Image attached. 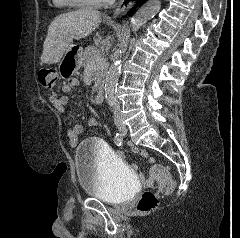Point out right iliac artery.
<instances>
[{
  "mask_svg": "<svg viewBox=\"0 0 240 238\" xmlns=\"http://www.w3.org/2000/svg\"><path fill=\"white\" fill-rule=\"evenodd\" d=\"M114 142L117 146H121L123 142V135L121 133H117L114 137Z\"/></svg>",
  "mask_w": 240,
  "mask_h": 238,
  "instance_id": "obj_1",
  "label": "right iliac artery"
}]
</instances>
